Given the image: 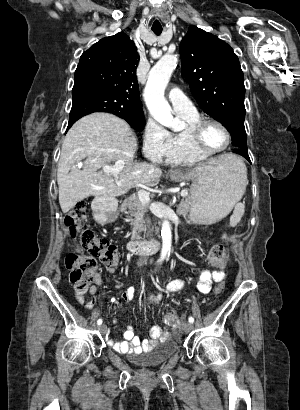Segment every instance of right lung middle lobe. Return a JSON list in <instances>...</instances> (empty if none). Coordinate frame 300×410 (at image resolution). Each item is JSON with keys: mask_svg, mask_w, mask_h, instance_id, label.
Returning <instances> with one entry per match:
<instances>
[{"mask_svg": "<svg viewBox=\"0 0 300 410\" xmlns=\"http://www.w3.org/2000/svg\"><path fill=\"white\" fill-rule=\"evenodd\" d=\"M120 102L112 93L90 84L74 85L68 129L79 118L93 112H109L126 120L132 128L143 130L144 115L124 116L119 112Z\"/></svg>", "mask_w": 300, "mask_h": 410, "instance_id": "obj_1", "label": "right lung middle lobe"}]
</instances>
